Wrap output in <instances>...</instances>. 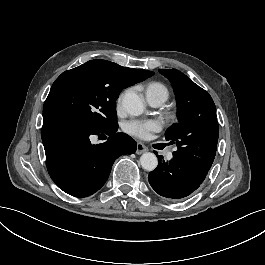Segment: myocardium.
Instances as JSON below:
<instances>
[{"label": "myocardium", "mask_w": 265, "mask_h": 265, "mask_svg": "<svg viewBox=\"0 0 265 265\" xmlns=\"http://www.w3.org/2000/svg\"><path fill=\"white\" fill-rule=\"evenodd\" d=\"M170 118L174 122L178 121V116H177V114L175 112L171 113Z\"/></svg>", "instance_id": "myocardium-1"}]
</instances>
